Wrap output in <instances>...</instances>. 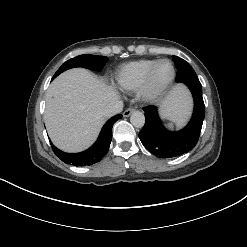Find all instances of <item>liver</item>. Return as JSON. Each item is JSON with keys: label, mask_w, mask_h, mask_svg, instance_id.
Returning a JSON list of instances; mask_svg holds the SVG:
<instances>
[{"label": "liver", "mask_w": 247, "mask_h": 247, "mask_svg": "<svg viewBox=\"0 0 247 247\" xmlns=\"http://www.w3.org/2000/svg\"><path fill=\"white\" fill-rule=\"evenodd\" d=\"M116 100L115 91L86 69L59 75L47 90L44 114L54 145L67 152L89 147L106 121L105 107ZM162 111L174 121H185L191 111L187 90L175 86L162 102Z\"/></svg>", "instance_id": "6515ba94"}]
</instances>
